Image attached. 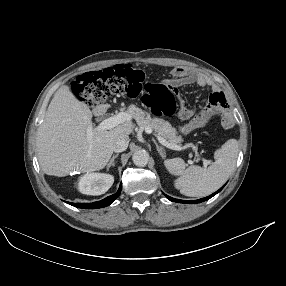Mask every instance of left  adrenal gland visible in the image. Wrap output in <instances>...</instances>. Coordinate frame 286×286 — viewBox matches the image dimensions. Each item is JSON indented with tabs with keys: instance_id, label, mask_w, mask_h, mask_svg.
I'll return each instance as SVG.
<instances>
[{
	"instance_id": "1",
	"label": "left adrenal gland",
	"mask_w": 286,
	"mask_h": 286,
	"mask_svg": "<svg viewBox=\"0 0 286 286\" xmlns=\"http://www.w3.org/2000/svg\"><path fill=\"white\" fill-rule=\"evenodd\" d=\"M152 140H153V142H154V144H155V146H156V149H157L159 155H160L162 158H164L163 148L158 145V143L156 142V140H155L154 138H153Z\"/></svg>"
}]
</instances>
